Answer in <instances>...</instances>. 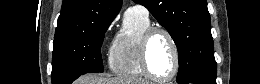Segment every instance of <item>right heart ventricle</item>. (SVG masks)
<instances>
[{
  "instance_id": "1",
  "label": "right heart ventricle",
  "mask_w": 260,
  "mask_h": 84,
  "mask_svg": "<svg viewBox=\"0 0 260 84\" xmlns=\"http://www.w3.org/2000/svg\"><path fill=\"white\" fill-rule=\"evenodd\" d=\"M149 27V16L139 11H126L123 28L110 54V68L116 75L125 78L145 76L140 60V40Z\"/></svg>"
}]
</instances>
